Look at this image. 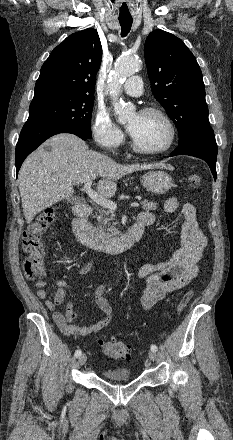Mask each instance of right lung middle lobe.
<instances>
[{"label":"right lung middle lobe","instance_id":"1","mask_svg":"<svg viewBox=\"0 0 233 440\" xmlns=\"http://www.w3.org/2000/svg\"><path fill=\"white\" fill-rule=\"evenodd\" d=\"M93 104V97H57L31 103L27 122L71 126L90 139Z\"/></svg>","mask_w":233,"mask_h":440}]
</instances>
